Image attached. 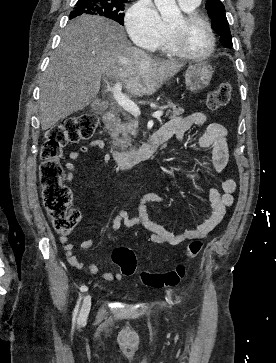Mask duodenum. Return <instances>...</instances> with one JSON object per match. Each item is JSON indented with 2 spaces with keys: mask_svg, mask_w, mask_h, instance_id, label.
<instances>
[{
  "mask_svg": "<svg viewBox=\"0 0 276 363\" xmlns=\"http://www.w3.org/2000/svg\"><path fill=\"white\" fill-rule=\"evenodd\" d=\"M117 112L113 109H107L103 114V130L116 118ZM168 139L163 132H156L150 141L142 148L131 151L111 150V156L116 165L132 166L137 162L149 159L156 150Z\"/></svg>",
  "mask_w": 276,
  "mask_h": 363,
  "instance_id": "duodenum-1",
  "label": "duodenum"
}]
</instances>
